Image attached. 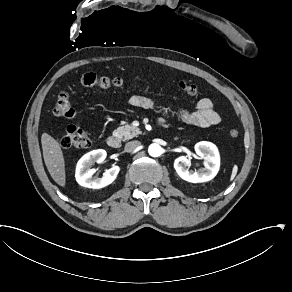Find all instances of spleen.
Returning a JSON list of instances; mask_svg holds the SVG:
<instances>
[{"label": "spleen", "instance_id": "3e777b00", "mask_svg": "<svg viewBox=\"0 0 292 292\" xmlns=\"http://www.w3.org/2000/svg\"><path fill=\"white\" fill-rule=\"evenodd\" d=\"M237 170H238V167L237 165H234L233 169H232V174H231V180H233L237 174Z\"/></svg>", "mask_w": 292, "mask_h": 292}]
</instances>
